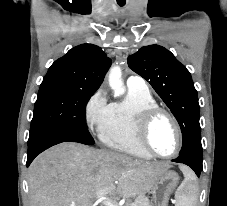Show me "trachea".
Here are the masks:
<instances>
[{
  "label": "trachea",
  "mask_w": 227,
  "mask_h": 206,
  "mask_svg": "<svg viewBox=\"0 0 227 206\" xmlns=\"http://www.w3.org/2000/svg\"><path fill=\"white\" fill-rule=\"evenodd\" d=\"M118 5L119 6H124L125 5V2H118Z\"/></svg>",
  "instance_id": "3493384b"
}]
</instances>
